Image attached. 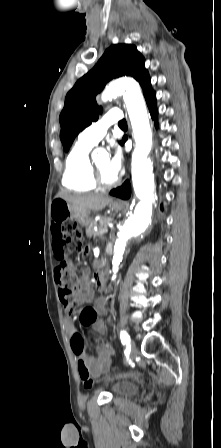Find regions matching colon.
Instances as JSON below:
<instances>
[{"label":"colon","instance_id":"colon-1","mask_svg":"<svg viewBox=\"0 0 221 448\" xmlns=\"http://www.w3.org/2000/svg\"><path fill=\"white\" fill-rule=\"evenodd\" d=\"M52 216L59 224L55 232L61 239V242L56 245L59 266L55 272V279L59 287V296L62 303L69 306L73 304L76 295L80 291V280L75 274L72 264L68 261V255L81 250L82 234L76 220L68 214L67 207L63 203L55 205ZM82 316L83 324L86 326L92 325L97 319V313L92 306H86L82 311ZM72 345L78 351L82 348L81 338L78 333L73 335ZM78 370L84 387L86 389L92 388L95 381L83 360L78 361Z\"/></svg>","mask_w":221,"mask_h":448}]
</instances>
